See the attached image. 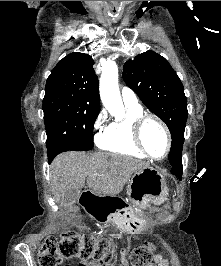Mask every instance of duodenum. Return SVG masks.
Wrapping results in <instances>:
<instances>
[{
	"label": "duodenum",
	"instance_id": "1",
	"mask_svg": "<svg viewBox=\"0 0 221 266\" xmlns=\"http://www.w3.org/2000/svg\"><path fill=\"white\" fill-rule=\"evenodd\" d=\"M78 203L86 206V213L96 219V223H110V219L122 228L129 229L133 225L125 215V204L117 194H109L107 189H84Z\"/></svg>",
	"mask_w": 221,
	"mask_h": 266
}]
</instances>
